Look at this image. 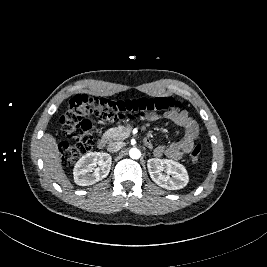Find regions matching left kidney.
<instances>
[{
    "label": "left kidney",
    "mask_w": 267,
    "mask_h": 267,
    "mask_svg": "<svg viewBox=\"0 0 267 267\" xmlns=\"http://www.w3.org/2000/svg\"><path fill=\"white\" fill-rule=\"evenodd\" d=\"M147 168L151 179L167 190L182 189L189 181L185 167L174 160L152 158L147 161Z\"/></svg>",
    "instance_id": "left-kidney-1"
}]
</instances>
